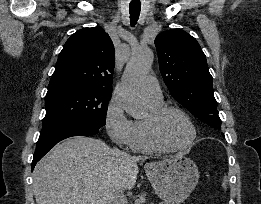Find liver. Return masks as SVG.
Segmentation results:
<instances>
[{
  "label": "liver",
  "instance_id": "6515ba94",
  "mask_svg": "<svg viewBox=\"0 0 261 204\" xmlns=\"http://www.w3.org/2000/svg\"><path fill=\"white\" fill-rule=\"evenodd\" d=\"M147 157L111 149L100 139L75 136L56 145L35 166L37 204H109L116 187L131 190Z\"/></svg>",
  "mask_w": 261,
  "mask_h": 204
}]
</instances>
